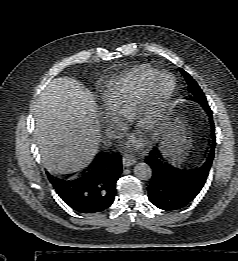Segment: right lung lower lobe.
Instances as JSON below:
<instances>
[{"label": "right lung lower lobe", "mask_w": 238, "mask_h": 261, "mask_svg": "<svg viewBox=\"0 0 238 261\" xmlns=\"http://www.w3.org/2000/svg\"><path fill=\"white\" fill-rule=\"evenodd\" d=\"M122 172L121 156L117 153L99 155L81 176L49 180L57 194L79 213H98L114 201L116 181Z\"/></svg>", "instance_id": "obj_1"}]
</instances>
